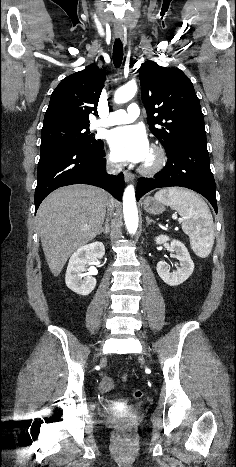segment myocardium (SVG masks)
<instances>
[{"label": "myocardium", "mask_w": 236, "mask_h": 467, "mask_svg": "<svg viewBox=\"0 0 236 467\" xmlns=\"http://www.w3.org/2000/svg\"><path fill=\"white\" fill-rule=\"evenodd\" d=\"M150 159L141 166V171L145 174H155L166 164L167 156L164 149L159 145H153L150 150Z\"/></svg>", "instance_id": "myocardium-1"}]
</instances>
